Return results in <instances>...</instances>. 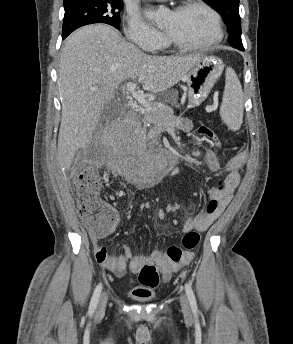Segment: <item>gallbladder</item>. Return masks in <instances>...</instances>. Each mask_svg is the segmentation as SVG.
I'll return each instance as SVG.
<instances>
[{
  "label": "gallbladder",
  "instance_id": "1",
  "mask_svg": "<svg viewBox=\"0 0 293 344\" xmlns=\"http://www.w3.org/2000/svg\"><path fill=\"white\" fill-rule=\"evenodd\" d=\"M118 107L119 104L116 101H111L110 103H108L103 111H102V115L104 118H113L117 113H118Z\"/></svg>",
  "mask_w": 293,
  "mask_h": 344
}]
</instances>
